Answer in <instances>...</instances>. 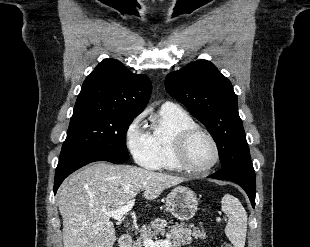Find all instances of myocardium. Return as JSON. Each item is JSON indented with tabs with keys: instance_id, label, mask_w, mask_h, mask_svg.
Here are the masks:
<instances>
[{
	"instance_id": "myocardium-1",
	"label": "myocardium",
	"mask_w": 310,
	"mask_h": 247,
	"mask_svg": "<svg viewBox=\"0 0 310 247\" xmlns=\"http://www.w3.org/2000/svg\"><path fill=\"white\" fill-rule=\"evenodd\" d=\"M203 135L211 142L214 148V159L213 161L206 167L203 168H194L190 165L188 160V148L191 140L197 136ZM175 156L176 160L180 166V169L184 170L185 172L191 175H203L213 169L220 160V149L218 146L217 141L209 133L207 130L199 127L193 126L180 131L176 137V144H175Z\"/></svg>"
}]
</instances>
